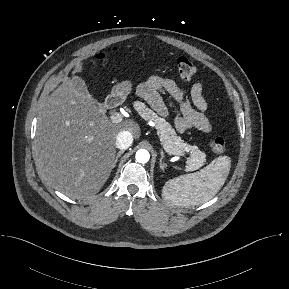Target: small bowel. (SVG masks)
Listing matches in <instances>:
<instances>
[{"mask_svg": "<svg viewBox=\"0 0 289 289\" xmlns=\"http://www.w3.org/2000/svg\"><path fill=\"white\" fill-rule=\"evenodd\" d=\"M139 95L144 98L161 116L169 115V106L177 103L174 125L179 133L194 129L209 133L212 125L204 114L208 104L203 96L202 83H195L190 91L191 102L185 96L176 82L170 78L151 76L139 86Z\"/></svg>", "mask_w": 289, "mask_h": 289, "instance_id": "small-bowel-1", "label": "small bowel"}]
</instances>
